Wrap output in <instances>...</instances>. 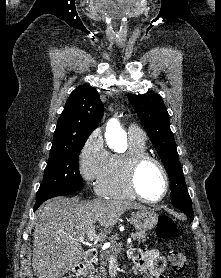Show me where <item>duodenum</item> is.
<instances>
[{
    "label": "duodenum",
    "instance_id": "obj_1",
    "mask_svg": "<svg viewBox=\"0 0 221 278\" xmlns=\"http://www.w3.org/2000/svg\"><path fill=\"white\" fill-rule=\"evenodd\" d=\"M98 255V251L95 248H88L86 250L85 261L77 264L70 273V278H81L87 265L91 264Z\"/></svg>",
    "mask_w": 221,
    "mask_h": 278
}]
</instances>
